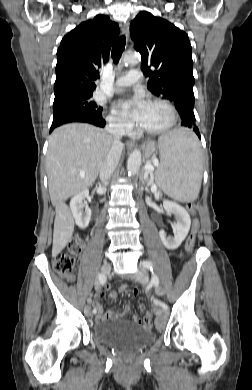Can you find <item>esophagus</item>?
Listing matches in <instances>:
<instances>
[{
	"instance_id": "obj_1",
	"label": "esophagus",
	"mask_w": 252,
	"mask_h": 390,
	"mask_svg": "<svg viewBox=\"0 0 252 390\" xmlns=\"http://www.w3.org/2000/svg\"><path fill=\"white\" fill-rule=\"evenodd\" d=\"M122 33L128 38L129 35V24L127 22L123 23L122 27ZM127 147L132 148L135 146V143L133 141L128 140L126 142Z\"/></svg>"
}]
</instances>
